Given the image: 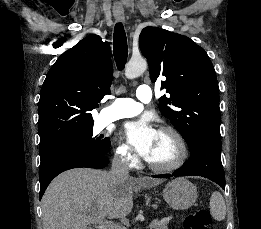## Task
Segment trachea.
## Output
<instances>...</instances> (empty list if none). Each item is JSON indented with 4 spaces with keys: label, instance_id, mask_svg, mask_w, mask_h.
<instances>
[{
    "label": "trachea",
    "instance_id": "1",
    "mask_svg": "<svg viewBox=\"0 0 261 229\" xmlns=\"http://www.w3.org/2000/svg\"><path fill=\"white\" fill-rule=\"evenodd\" d=\"M113 52L119 70H123L128 57V44L122 23L115 25L113 34Z\"/></svg>",
    "mask_w": 261,
    "mask_h": 229
}]
</instances>
